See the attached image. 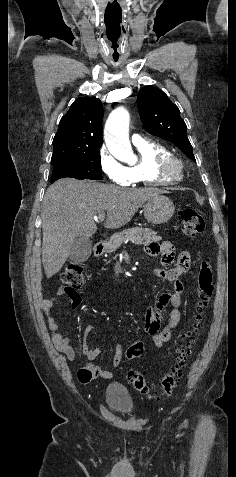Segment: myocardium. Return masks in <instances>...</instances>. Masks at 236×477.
Returning a JSON list of instances; mask_svg holds the SVG:
<instances>
[{
    "label": "myocardium",
    "instance_id": "f54148a6",
    "mask_svg": "<svg viewBox=\"0 0 236 477\" xmlns=\"http://www.w3.org/2000/svg\"><path fill=\"white\" fill-rule=\"evenodd\" d=\"M183 171V160L173 154L158 157L154 164L155 174L165 180L181 177Z\"/></svg>",
    "mask_w": 236,
    "mask_h": 477
}]
</instances>
